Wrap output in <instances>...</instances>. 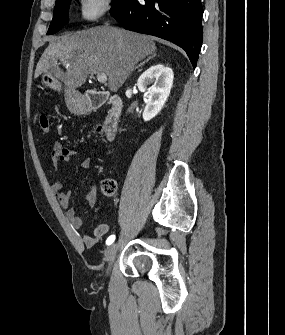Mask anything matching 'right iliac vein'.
<instances>
[{"instance_id": "right-iliac-vein-1", "label": "right iliac vein", "mask_w": 285, "mask_h": 335, "mask_svg": "<svg viewBox=\"0 0 285 335\" xmlns=\"http://www.w3.org/2000/svg\"><path fill=\"white\" fill-rule=\"evenodd\" d=\"M117 251H118L117 245L116 244H111L105 252V260L107 262V268H106L107 276L110 273L112 261H113L115 255L117 254Z\"/></svg>"}]
</instances>
